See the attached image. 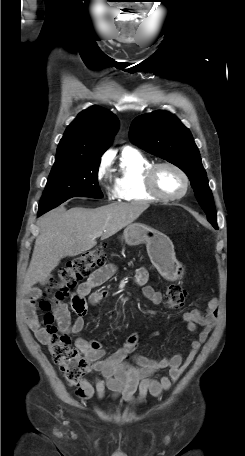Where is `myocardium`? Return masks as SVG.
Listing matches in <instances>:
<instances>
[{
    "instance_id": "obj_1",
    "label": "myocardium",
    "mask_w": 245,
    "mask_h": 456,
    "mask_svg": "<svg viewBox=\"0 0 245 456\" xmlns=\"http://www.w3.org/2000/svg\"><path fill=\"white\" fill-rule=\"evenodd\" d=\"M161 167H170L174 169L178 174L182 177L183 182H184V187L181 193L177 195H166L163 194L157 187L156 185V174L157 171ZM144 185L146 188V191L153 196L154 198L161 200V201H166V202H172V201H177L182 199L188 192L190 181L188 178V175L185 173V171L176 165L175 163L169 162V161H163V162H158V163H153L150 167H148L144 173Z\"/></svg>"
}]
</instances>
